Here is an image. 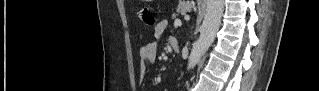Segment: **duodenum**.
<instances>
[{
    "label": "duodenum",
    "instance_id": "1",
    "mask_svg": "<svg viewBox=\"0 0 319 91\" xmlns=\"http://www.w3.org/2000/svg\"><path fill=\"white\" fill-rule=\"evenodd\" d=\"M170 46H171V49L175 52H178L179 49H180V45H179V42L176 38L172 37L170 39Z\"/></svg>",
    "mask_w": 319,
    "mask_h": 91
}]
</instances>
